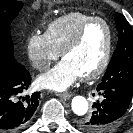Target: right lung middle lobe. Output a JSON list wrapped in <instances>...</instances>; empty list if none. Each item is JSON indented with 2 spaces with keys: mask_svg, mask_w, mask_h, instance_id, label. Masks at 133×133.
I'll return each instance as SVG.
<instances>
[{
  "mask_svg": "<svg viewBox=\"0 0 133 133\" xmlns=\"http://www.w3.org/2000/svg\"><path fill=\"white\" fill-rule=\"evenodd\" d=\"M23 3L15 0H0V69L18 63L13 55L10 24L19 14Z\"/></svg>",
  "mask_w": 133,
  "mask_h": 133,
  "instance_id": "obj_1",
  "label": "right lung middle lobe"
}]
</instances>
